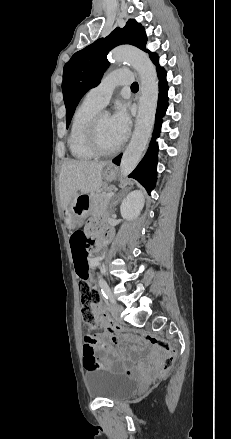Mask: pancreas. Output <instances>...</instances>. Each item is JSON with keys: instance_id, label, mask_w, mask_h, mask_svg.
Here are the masks:
<instances>
[{"instance_id": "1", "label": "pancreas", "mask_w": 231, "mask_h": 439, "mask_svg": "<svg viewBox=\"0 0 231 439\" xmlns=\"http://www.w3.org/2000/svg\"><path fill=\"white\" fill-rule=\"evenodd\" d=\"M106 194L108 193L105 191H100L92 195L90 209V214L92 216L105 212L110 200L108 197H106Z\"/></svg>"}]
</instances>
